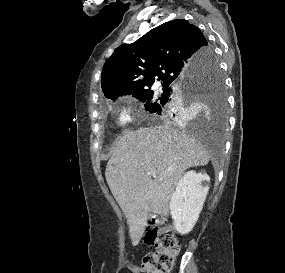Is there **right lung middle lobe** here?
I'll use <instances>...</instances> for the list:
<instances>
[{
    "label": "right lung middle lobe",
    "instance_id": "1",
    "mask_svg": "<svg viewBox=\"0 0 285 273\" xmlns=\"http://www.w3.org/2000/svg\"><path fill=\"white\" fill-rule=\"evenodd\" d=\"M205 59L208 62L207 67L197 75V78L192 77L189 87L171 89L167 85H162L161 95L147 89L133 96L145 103L146 111L157 113L161 110L160 115L168 119L179 117L183 108L190 107L193 103L205 102L217 112V126L222 132L226 126L227 106L224 80L212 49L206 54Z\"/></svg>",
    "mask_w": 285,
    "mask_h": 273
}]
</instances>
